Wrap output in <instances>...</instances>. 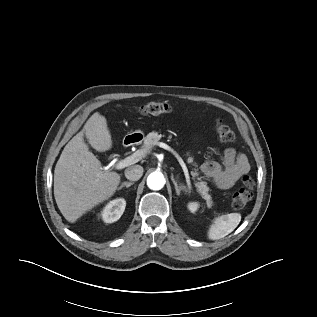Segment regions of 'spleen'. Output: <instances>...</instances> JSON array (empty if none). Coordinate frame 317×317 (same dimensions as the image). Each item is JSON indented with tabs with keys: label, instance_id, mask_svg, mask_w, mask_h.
Masks as SVG:
<instances>
[{
	"label": "spleen",
	"instance_id": "3e777b00",
	"mask_svg": "<svg viewBox=\"0 0 317 317\" xmlns=\"http://www.w3.org/2000/svg\"><path fill=\"white\" fill-rule=\"evenodd\" d=\"M241 215L239 213H227L216 217L208 230V238L219 240L224 238L239 225Z\"/></svg>",
	"mask_w": 317,
	"mask_h": 317
}]
</instances>
